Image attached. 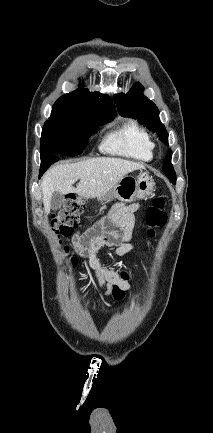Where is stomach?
Wrapping results in <instances>:
<instances>
[{
    "mask_svg": "<svg viewBox=\"0 0 213 433\" xmlns=\"http://www.w3.org/2000/svg\"><path fill=\"white\" fill-rule=\"evenodd\" d=\"M155 183L147 173L138 177L124 176L106 195L98 198L100 201L118 199L124 203L149 197L154 191Z\"/></svg>",
    "mask_w": 213,
    "mask_h": 433,
    "instance_id": "stomach-1",
    "label": "stomach"
}]
</instances>
